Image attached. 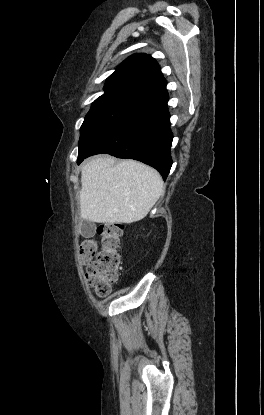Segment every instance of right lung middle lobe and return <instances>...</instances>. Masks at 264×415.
Listing matches in <instances>:
<instances>
[{
    "instance_id": "obj_1",
    "label": "right lung middle lobe",
    "mask_w": 264,
    "mask_h": 415,
    "mask_svg": "<svg viewBox=\"0 0 264 415\" xmlns=\"http://www.w3.org/2000/svg\"><path fill=\"white\" fill-rule=\"evenodd\" d=\"M142 101L140 98L120 94L97 98L80 128L79 150L86 148L122 115Z\"/></svg>"
}]
</instances>
